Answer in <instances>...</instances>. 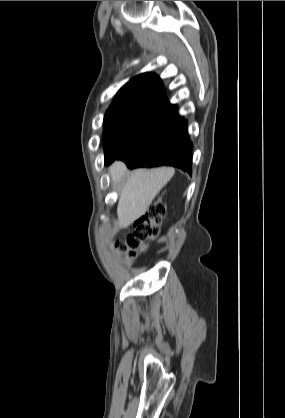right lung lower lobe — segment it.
<instances>
[{
    "label": "right lung lower lobe",
    "instance_id": "obj_1",
    "mask_svg": "<svg viewBox=\"0 0 285 418\" xmlns=\"http://www.w3.org/2000/svg\"><path fill=\"white\" fill-rule=\"evenodd\" d=\"M192 148L187 121L175 111L167 121L132 148L119 156L105 159V164L121 159L130 169L169 165L191 172Z\"/></svg>",
    "mask_w": 285,
    "mask_h": 418
}]
</instances>
